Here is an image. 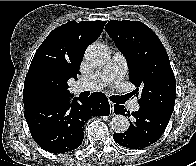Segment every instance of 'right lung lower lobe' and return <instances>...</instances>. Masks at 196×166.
<instances>
[{"instance_id":"1","label":"right lung lower lobe","mask_w":196,"mask_h":166,"mask_svg":"<svg viewBox=\"0 0 196 166\" xmlns=\"http://www.w3.org/2000/svg\"><path fill=\"white\" fill-rule=\"evenodd\" d=\"M109 113L108 99L102 93L73 100L68 96L24 111L35 142L45 151L55 154L79 147L84 138L85 122L92 116Z\"/></svg>"}]
</instances>
